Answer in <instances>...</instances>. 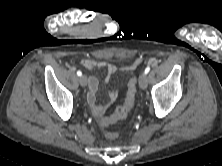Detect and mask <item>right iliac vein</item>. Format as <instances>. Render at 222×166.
I'll list each match as a JSON object with an SVG mask.
<instances>
[{"instance_id":"obj_1","label":"right iliac vein","mask_w":222,"mask_h":166,"mask_svg":"<svg viewBox=\"0 0 222 166\" xmlns=\"http://www.w3.org/2000/svg\"><path fill=\"white\" fill-rule=\"evenodd\" d=\"M79 82L82 87H85L87 85V77L85 75H82L79 78Z\"/></svg>"}]
</instances>
